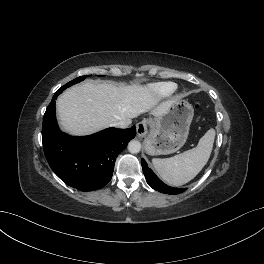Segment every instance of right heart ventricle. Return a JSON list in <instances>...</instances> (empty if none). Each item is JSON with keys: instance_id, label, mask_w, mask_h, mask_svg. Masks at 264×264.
I'll return each instance as SVG.
<instances>
[{"instance_id": "e07e8e85", "label": "right heart ventricle", "mask_w": 264, "mask_h": 264, "mask_svg": "<svg viewBox=\"0 0 264 264\" xmlns=\"http://www.w3.org/2000/svg\"><path fill=\"white\" fill-rule=\"evenodd\" d=\"M151 93L158 97H168L176 90V85L172 82H160L149 86Z\"/></svg>"}]
</instances>
